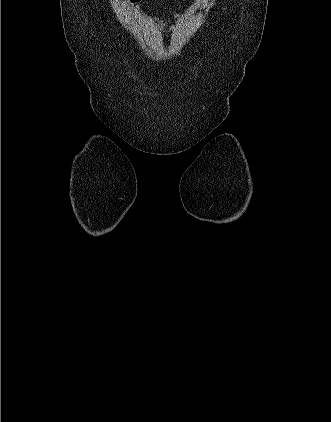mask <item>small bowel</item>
<instances>
[{"mask_svg": "<svg viewBox=\"0 0 331 422\" xmlns=\"http://www.w3.org/2000/svg\"><path fill=\"white\" fill-rule=\"evenodd\" d=\"M127 4L133 6V11L137 12L141 7V0H124ZM174 16L178 19H181L183 16L180 13H173ZM149 20L153 25H159L158 18L154 15H149Z\"/></svg>", "mask_w": 331, "mask_h": 422, "instance_id": "small-bowel-1", "label": "small bowel"}]
</instances>
